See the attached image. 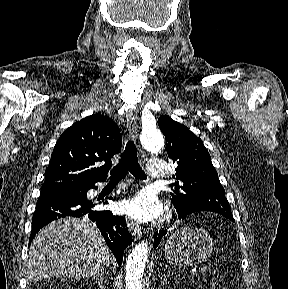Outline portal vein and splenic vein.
<instances>
[{
    "instance_id": "1",
    "label": "portal vein and splenic vein",
    "mask_w": 288,
    "mask_h": 289,
    "mask_svg": "<svg viewBox=\"0 0 288 289\" xmlns=\"http://www.w3.org/2000/svg\"><path fill=\"white\" fill-rule=\"evenodd\" d=\"M206 272H207V267H206V266H203V267L201 268V273H202V274H206Z\"/></svg>"
}]
</instances>
